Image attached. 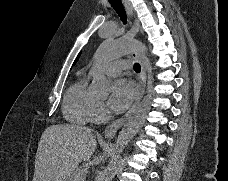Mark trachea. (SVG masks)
Returning <instances> with one entry per match:
<instances>
[{
	"label": "trachea",
	"instance_id": "3493384b",
	"mask_svg": "<svg viewBox=\"0 0 228 181\" xmlns=\"http://www.w3.org/2000/svg\"><path fill=\"white\" fill-rule=\"evenodd\" d=\"M109 3L113 7V9L116 11V13L120 17V19L124 23V25H126L127 16H126V12H125V9L123 7L121 0H109ZM134 71L136 73H139L141 71V67H140L139 63H134Z\"/></svg>",
	"mask_w": 228,
	"mask_h": 181
}]
</instances>
